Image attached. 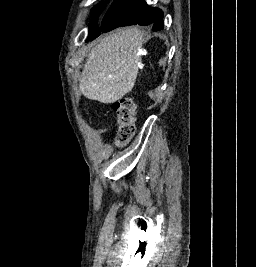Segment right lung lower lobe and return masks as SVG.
I'll return each mask as SVG.
<instances>
[{"mask_svg":"<svg viewBox=\"0 0 256 267\" xmlns=\"http://www.w3.org/2000/svg\"><path fill=\"white\" fill-rule=\"evenodd\" d=\"M143 25L152 27V31L163 29L162 11L158 8L149 7L144 1L123 17L115 26ZM113 30V29H112Z\"/></svg>","mask_w":256,"mask_h":267,"instance_id":"right-lung-lower-lobe-1","label":"right lung lower lobe"}]
</instances>
